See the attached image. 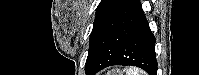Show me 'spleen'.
Here are the masks:
<instances>
[{
	"mask_svg": "<svg viewBox=\"0 0 199 75\" xmlns=\"http://www.w3.org/2000/svg\"><path fill=\"white\" fill-rule=\"evenodd\" d=\"M126 75H145V72L139 70L138 68L130 67L127 69Z\"/></svg>",
	"mask_w": 199,
	"mask_h": 75,
	"instance_id": "spleen-1",
	"label": "spleen"
}]
</instances>
